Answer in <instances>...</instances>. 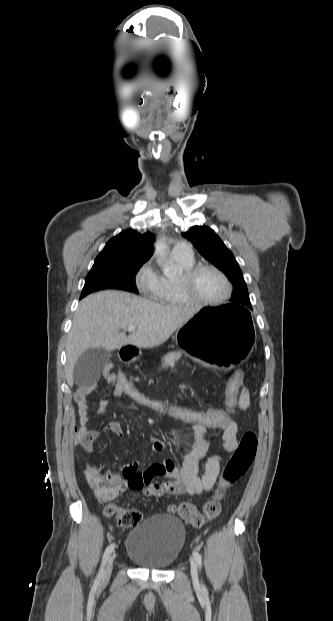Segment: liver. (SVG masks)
I'll use <instances>...</instances> for the list:
<instances>
[{
    "label": "liver",
    "instance_id": "6515ba94",
    "mask_svg": "<svg viewBox=\"0 0 333 621\" xmlns=\"http://www.w3.org/2000/svg\"><path fill=\"white\" fill-rule=\"evenodd\" d=\"M195 312L187 308L157 304L135 294L102 291L84 298L75 312L67 337L65 376L73 386L78 358L91 348L107 351L125 345L153 348L163 344ZM136 330L126 335L128 327Z\"/></svg>",
    "mask_w": 333,
    "mask_h": 621
}]
</instances>
